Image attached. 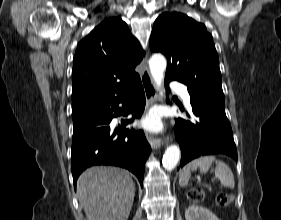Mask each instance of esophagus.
Segmentation results:
<instances>
[{
  "instance_id": "obj_1",
  "label": "esophagus",
  "mask_w": 281,
  "mask_h": 220,
  "mask_svg": "<svg viewBox=\"0 0 281 220\" xmlns=\"http://www.w3.org/2000/svg\"><path fill=\"white\" fill-rule=\"evenodd\" d=\"M142 85L145 92L147 108L152 105L158 98L157 90L147 67L141 76ZM147 140L153 149H158L162 146L163 141L160 137H154L153 135L147 134Z\"/></svg>"
}]
</instances>
